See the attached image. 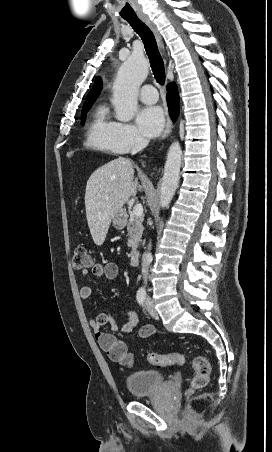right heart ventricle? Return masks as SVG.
Masks as SVG:
<instances>
[{"label": "right heart ventricle", "instance_id": "e07e8e85", "mask_svg": "<svg viewBox=\"0 0 272 452\" xmlns=\"http://www.w3.org/2000/svg\"><path fill=\"white\" fill-rule=\"evenodd\" d=\"M117 125L109 117L108 109L103 105L99 106L87 128L86 145L110 153H121L115 143Z\"/></svg>", "mask_w": 272, "mask_h": 452}]
</instances>
